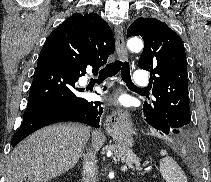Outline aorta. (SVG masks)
<instances>
[{
  "label": "aorta",
  "mask_w": 211,
  "mask_h": 182,
  "mask_svg": "<svg viewBox=\"0 0 211 182\" xmlns=\"http://www.w3.org/2000/svg\"><path fill=\"white\" fill-rule=\"evenodd\" d=\"M127 47L132 52H139L143 48V42H142L141 39L136 38V37L135 38H130L127 41Z\"/></svg>",
  "instance_id": "aorta-1"
}]
</instances>
